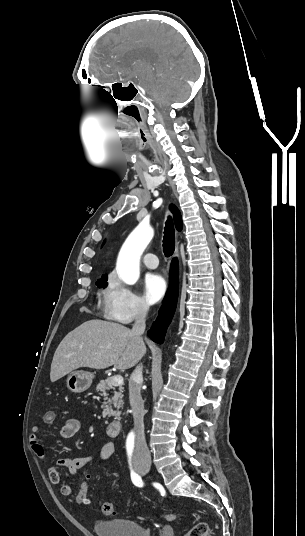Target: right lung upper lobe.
Masks as SVG:
<instances>
[{"label": "right lung upper lobe", "mask_w": 305, "mask_h": 536, "mask_svg": "<svg viewBox=\"0 0 305 536\" xmlns=\"http://www.w3.org/2000/svg\"><path fill=\"white\" fill-rule=\"evenodd\" d=\"M170 208L173 212L175 226L177 230L180 231L182 229V218H181L180 212L174 205H171Z\"/></svg>", "instance_id": "1"}]
</instances>
